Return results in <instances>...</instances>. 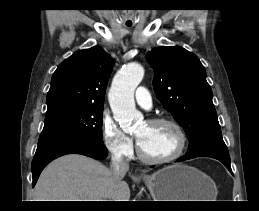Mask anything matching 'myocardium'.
I'll return each mask as SVG.
<instances>
[{
  "label": "myocardium",
  "instance_id": "1",
  "mask_svg": "<svg viewBox=\"0 0 259 211\" xmlns=\"http://www.w3.org/2000/svg\"><path fill=\"white\" fill-rule=\"evenodd\" d=\"M147 123L153 124V125L166 124V125L171 126L175 130V133L177 136V147H176L175 151L168 156L151 157L144 153V151L140 147L139 142H137L136 150H137L138 157L143 162L149 163V164H165V163L173 162L174 160L179 158L182 155V153L186 147V141H187L186 134H185L182 126L175 119L170 118V117L151 118L147 121Z\"/></svg>",
  "mask_w": 259,
  "mask_h": 211
}]
</instances>
